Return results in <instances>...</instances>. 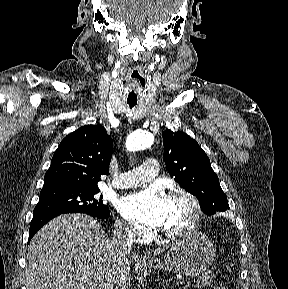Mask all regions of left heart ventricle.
Here are the masks:
<instances>
[{"instance_id":"left-heart-ventricle-1","label":"left heart ventricle","mask_w":288,"mask_h":289,"mask_svg":"<svg viewBox=\"0 0 288 289\" xmlns=\"http://www.w3.org/2000/svg\"><path fill=\"white\" fill-rule=\"evenodd\" d=\"M191 218V208L183 199H166L162 230L174 231L186 227Z\"/></svg>"}]
</instances>
